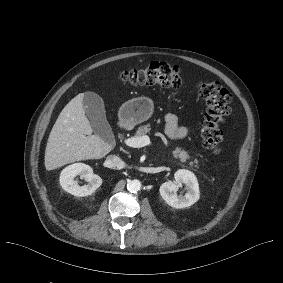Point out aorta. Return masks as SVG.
Instances as JSON below:
<instances>
[{
    "label": "aorta",
    "instance_id": "1",
    "mask_svg": "<svg viewBox=\"0 0 283 283\" xmlns=\"http://www.w3.org/2000/svg\"><path fill=\"white\" fill-rule=\"evenodd\" d=\"M127 189L131 192V193H135L138 192L141 189V182L137 179L135 180H131L127 183Z\"/></svg>",
    "mask_w": 283,
    "mask_h": 283
}]
</instances>
